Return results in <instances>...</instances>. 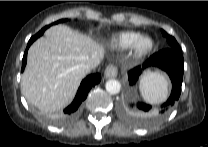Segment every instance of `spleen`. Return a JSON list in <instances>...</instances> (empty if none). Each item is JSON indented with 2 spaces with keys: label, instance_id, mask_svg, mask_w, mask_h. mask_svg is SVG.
Segmentation results:
<instances>
[{
  "label": "spleen",
  "instance_id": "obj_1",
  "mask_svg": "<svg viewBox=\"0 0 208 147\" xmlns=\"http://www.w3.org/2000/svg\"><path fill=\"white\" fill-rule=\"evenodd\" d=\"M139 89L146 102L158 104L166 100L169 94V82L161 74H151L140 81Z\"/></svg>",
  "mask_w": 208,
  "mask_h": 147
}]
</instances>
